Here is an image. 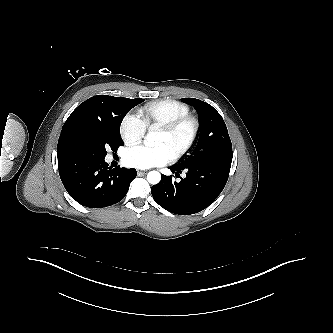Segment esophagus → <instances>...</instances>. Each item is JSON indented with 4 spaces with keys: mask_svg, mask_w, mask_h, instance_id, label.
Listing matches in <instances>:
<instances>
[{
    "mask_svg": "<svg viewBox=\"0 0 333 333\" xmlns=\"http://www.w3.org/2000/svg\"><path fill=\"white\" fill-rule=\"evenodd\" d=\"M137 174H138V176H142V175L146 174V171L138 170Z\"/></svg>",
    "mask_w": 333,
    "mask_h": 333,
    "instance_id": "34e87169",
    "label": "esophagus"
}]
</instances>
